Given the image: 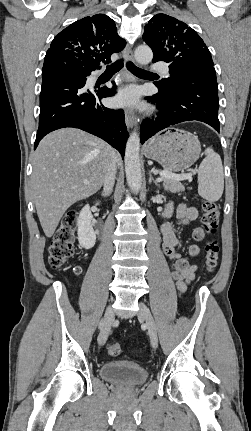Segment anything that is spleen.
<instances>
[{
    "label": "spleen",
    "instance_id": "spleen-1",
    "mask_svg": "<svg viewBox=\"0 0 251 431\" xmlns=\"http://www.w3.org/2000/svg\"><path fill=\"white\" fill-rule=\"evenodd\" d=\"M205 155L198 168V193L203 198L215 202L221 198L224 190L222 161L212 148H207Z\"/></svg>",
    "mask_w": 251,
    "mask_h": 431
}]
</instances>
